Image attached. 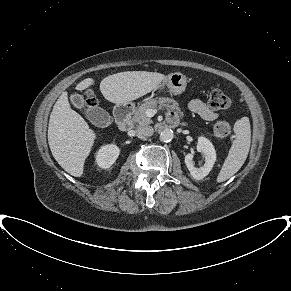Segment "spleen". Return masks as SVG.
<instances>
[{
	"instance_id": "1",
	"label": "spleen",
	"mask_w": 291,
	"mask_h": 291,
	"mask_svg": "<svg viewBox=\"0 0 291 291\" xmlns=\"http://www.w3.org/2000/svg\"><path fill=\"white\" fill-rule=\"evenodd\" d=\"M234 140L224 164L217 176L218 183L224 182L239 171L244 164L251 144L249 119L243 117L234 124Z\"/></svg>"
}]
</instances>
